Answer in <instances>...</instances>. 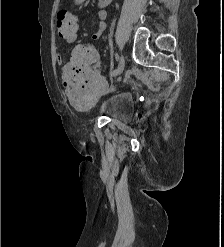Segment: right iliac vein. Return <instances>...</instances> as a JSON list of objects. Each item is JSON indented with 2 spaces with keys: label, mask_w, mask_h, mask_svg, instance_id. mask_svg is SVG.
Wrapping results in <instances>:
<instances>
[{
  "label": "right iliac vein",
  "mask_w": 224,
  "mask_h": 247,
  "mask_svg": "<svg viewBox=\"0 0 224 247\" xmlns=\"http://www.w3.org/2000/svg\"><path fill=\"white\" fill-rule=\"evenodd\" d=\"M124 67H125V60L123 57H121L120 61H119V65L117 67V73H116V76L117 75H120L123 70H124Z\"/></svg>",
  "instance_id": "1"
}]
</instances>
